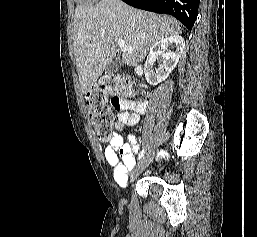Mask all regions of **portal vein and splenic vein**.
<instances>
[{"label":"portal vein and splenic vein","mask_w":257,"mask_h":237,"mask_svg":"<svg viewBox=\"0 0 257 237\" xmlns=\"http://www.w3.org/2000/svg\"><path fill=\"white\" fill-rule=\"evenodd\" d=\"M117 44H118V46H119V48H120L121 50H130V49H131V48H129V47L126 45L125 41L122 40V39H118Z\"/></svg>","instance_id":"portal-vein-and-splenic-vein-1"}]
</instances>
